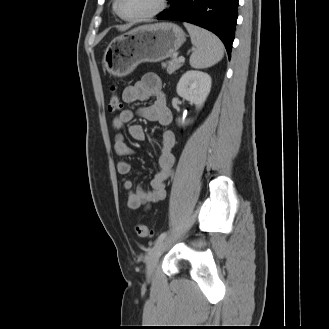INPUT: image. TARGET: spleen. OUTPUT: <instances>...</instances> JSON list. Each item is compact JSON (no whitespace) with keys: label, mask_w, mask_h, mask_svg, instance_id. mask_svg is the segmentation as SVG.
Instances as JSON below:
<instances>
[{"label":"spleen","mask_w":329,"mask_h":329,"mask_svg":"<svg viewBox=\"0 0 329 329\" xmlns=\"http://www.w3.org/2000/svg\"><path fill=\"white\" fill-rule=\"evenodd\" d=\"M184 26L190 34L192 44L196 47L190 56L191 67L208 68L223 58L224 46L216 35L189 23H184Z\"/></svg>","instance_id":"3e777b00"}]
</instances>
